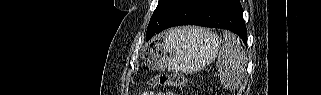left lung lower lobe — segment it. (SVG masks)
<instances>
[{
    "instance_id": "obj_1",
    "label": "left lung lower lobe",
    "mask_w": 321,
    "mask_h": 95,
    "mask_svg": "<svg viewBox=\"0 0 321 95\" xmlns=\"http://www.w3.org/2000/svg\"><path fill=\"white\" fill-rule=\"evenodd\" d=\"M178 25H198L230 30L247 43V30L239 0H175L146 41L155 34Z\"/></svg>"
}]
</instances>
